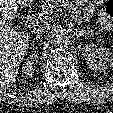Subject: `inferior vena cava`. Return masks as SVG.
<instances>
[{
    "label": "inferior vena cava",
    "mask_w": 113,
    "mask_h": 113,
    "mask_svg": "<svg viewBox=\"0 0 113 113\" xmlns=\"http://www.w3.org/2000/svg\"><path fill=\"white\" fill-rule=\"evenodd\" d=\"M49 29H50L49 24H43V25H39V26L35 27L33 29V32L39 36V35L44 34Z\"/></svg>",
    "instance_id": "obj_1"
}]
</instances>
